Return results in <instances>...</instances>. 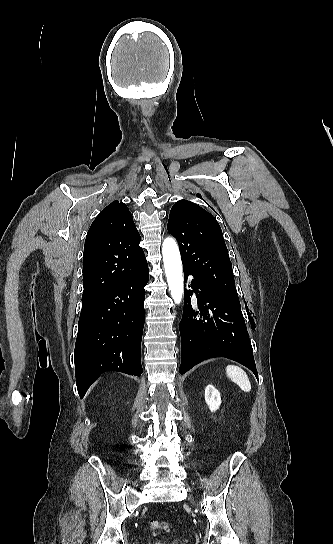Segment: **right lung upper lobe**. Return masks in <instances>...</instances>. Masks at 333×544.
<instances>
[{
    "label": "right lung upper lobe",
    "instance_id": "cb5924a9",
    "mask_svg": "<svg viewBox=\"0 0 333 544\" xmlns=\"http://www.w3.org/2000/svg\"><path fill=\"white\" fill-rule=\"evenodd\" d=\"M140 235L127 206L109 204L93 221L85 240L82 302L99 297L147 264Z\"/></svg>",
    "mask_w": 333,
    "mask_h": 544
}]
</instances>
